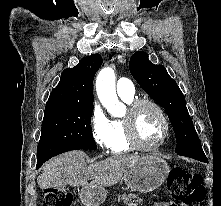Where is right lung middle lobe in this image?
Returning a JSON list of instances; mask_svg holds the SVG:
<instances>
[{"label": "right lung middle lobe", "mask_w": 221, "mask_h": 206, "mask_svg": "<svg viewBox=\"0 0 221 206\" xmlns=\"http://www.w3.org/2000/svg\"><path fill=\"white\" fill-rule=\"evenodd\" d=\"M93 106L45 110L37 161L75 149H96L90 126Z\"/></svg>", "instance_id": "dd1d6c3e"}]
</instances>
